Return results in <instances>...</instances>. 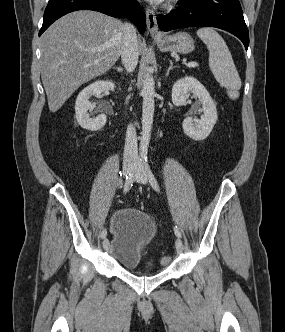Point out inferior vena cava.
I'll return each mask as SVG.
<instances>
[{"label":"inferior vena cava","mask_w":285,"mask_h":332,"mask_svg":"<svg viewBox=\"0 0 285 332\" xmlns=\"http://www.w3.org/2000/svg\"><path fill=\"white\" fill-rule=\"evenodd\" d=\"M138 39L136 28L130 23H125L123 28V41L121 47V60L127 72H132L138 62ZM138 160L137 136L133 125L126 131L124 146V163H135Z\"/></svg>","instance_id":"obj_1"}]
</instances>
